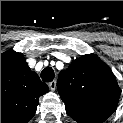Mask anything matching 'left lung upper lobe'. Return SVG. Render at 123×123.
<instances>
[{"mask_svg": "<svg viewBox=\"0 0 123 123\" xmlns=\"http://www.w3.org/2000/svg\"><path fill=\"white\" fill-rule=\"evenodd\" d=\"M57 88L70 117L98 123L114 112L121 93L115 75L95 54L83 55L61 71Z\"/></svg>", "mask_w": 123, "mask_h": 123, "instance_id": "1", "label": "left lung upper lobe"}]
</instances>
